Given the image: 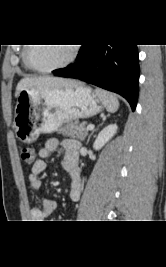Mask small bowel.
I'll return each mask as SVG.
<instances>
[{
    "mask_svg": "<svg viewBox=\"0 0 166 267\" xmlns=\"http://www.w3.org/2000/svg\"><path fill=\"white\" fill-rule=\"evenodd\" d=\"M58 148L64 150L65 155L62 161V167L69 172L71 177L69 196L73 201H77L81 193V171L78 166V151L80 143L75 139L59 140L51 138L46 142L45 146L38 152L39 158L32 164L29 175L30 186L36 191L41 190L42 182L40 175L47 167L44 159L49 157ZM56 209L57 203L54 200L44 198L42 199L39 207L31 209L30 218L35 222H42L53 214Z\"/></svg>",
    "mask_w": 166,
    "mask_h": 267,
    "instance_id": "c3829d8e",
    "label": "small bowel"
}]
</instances>
